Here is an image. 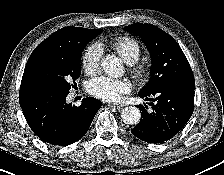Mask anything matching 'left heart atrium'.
<instances>
[{
	"label": "left heart atrium",
	"instance_id": "obj_1",
	"mask_svg": "<svg viewBox=\"0 0 224 175\" xmlns=\"http://www.w3.org/2000/svg\"><path fill=\"white\" fill-rule=\"evenodd\" d=\"M132 85L128 80L101 76L93 79L88 86L91 95L105 100L118 101L131 91Z\"/></svg>",
	"mask_w": 224,
	"mask_h": 175
}]
</instances>
